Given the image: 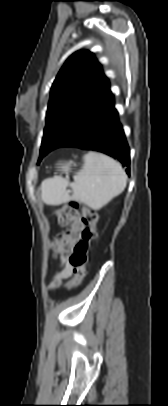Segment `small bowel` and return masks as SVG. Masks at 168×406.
<instances>
[{
    "label": "small bowel",
    "instance_id": "1",
    "mask_svg": "<svg viewBox=\"0 0 168 406\" xmlns=\"http://www.w3.org/2000/svg\"><path fill=\"white\" fill-rule=\"evenodd\" d=\"M73 275V268L68 262V258L65 255H62L61 258V268L58 273L55 275L54 279L50 284V288L54 289L58 287L61 282L65 279L70 278Z\"/></svg>",
    "mask_w": 168,
    "mask_h": 406
}]
</instances>
